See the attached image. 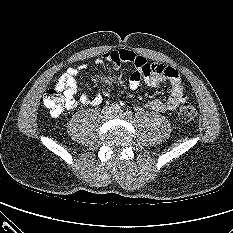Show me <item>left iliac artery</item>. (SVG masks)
Returning <instances> with one entry per match:
<instances>
[{"mask_svg":"<svg viewBox=\"0 0 233 233\" xmlns=\"http://www.w3.org/2000/svg\"><path fill=\"white\" fill-rule=\"evenodd\" d=\"M124 115L126 116V118L131 119L133 116V113L131 111H126Z\"/></svg>","mask_w":233,"mask_h":233,"instance_id":"left-iliac-artery-1","label":"left iliac artery"}]
</instances>
